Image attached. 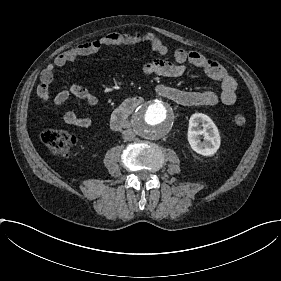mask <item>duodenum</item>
<instances>
[{
  "instance_id": "duodenum-1",
  "label": "duodenum",
  "mask_w": 281,
  "mask_h": 281,
  "mask_svg": "<svg viewBox=\"0 0 281 281\" xmlns=\"http://www.w3.org/2000/svg\"><path fill=\"white\" fill-rule=\"evenodd\" d=\"M142 103V98L132 97L126 99L122 104H120L112 113L111 116V127L114 130H119L124 127L129 116L138 108Z\"/></svg>"
}]
</instances>
